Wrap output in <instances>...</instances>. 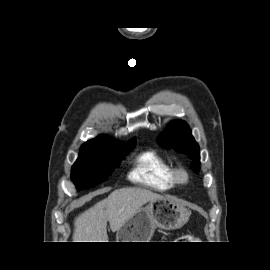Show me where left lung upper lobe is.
Instances as JSON below:
<instances>
[{
	"mask_svg": "<svg viewBox=\"0 0 270 270\" xmlns=\"http://www.w3.org/2000/svg\"><path fill=\"white\" fill-rule=\"evenodd\" d=\"M158 143L163 148L182 152L194 160L200 159L199 146L191 135L189 126L182 120L169 124L167 130L159 136ZM192 168L199 171L197 163H193Z\"/></svg>",
	"mask_w": 270,
	"mask_h": 270,
	"instance_id": "left-lung-upper-lobe-1",
	"label": "left lung upper lobe"
}]
</instances>
